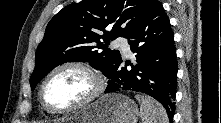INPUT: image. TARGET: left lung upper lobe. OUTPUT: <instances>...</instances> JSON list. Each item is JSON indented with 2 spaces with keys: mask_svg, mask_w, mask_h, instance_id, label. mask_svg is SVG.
<instances>
[{
  "mask_svg": "<svg viewBox=\"0 0 221 123\" xmlns=\"http://www.w3.org/2000/svg\"><path fill=\"white\" fill-rule=\"evenodd\" d=\"M156 1L82 0L64 7L48 23L37 48L31 89L53 68L72 61H88L109 77L121 55L108 44L117 37L128 38Z\"/></svg>",
  "mask_w": 221,
  "mask_h": 123,
  "instance_id": "5c2ea615",
  "label": "left lung upper lobe"
}]
</instances>
